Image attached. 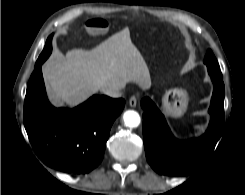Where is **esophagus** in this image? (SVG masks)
I'll return each mask as SVG.
<instances>
[{
    "instance_id": "esophagus-1",
    "label": "esophagus",
    "mask_w": 245,
    "mask_h": 195,
    "mask_svg": "<svg viewBox=\"0 0 245 195\" xmlns=\"http://www.w3.org/2000/svg\"><path fill=\"white\" fill-rule=\"evenodd\" d=\"M137 97L136 96H131L129 99V105L131 107H135L137 105Z\"/></svg>"
}]
</instances>
